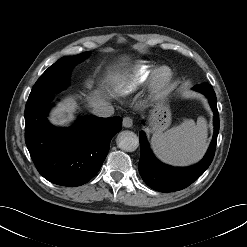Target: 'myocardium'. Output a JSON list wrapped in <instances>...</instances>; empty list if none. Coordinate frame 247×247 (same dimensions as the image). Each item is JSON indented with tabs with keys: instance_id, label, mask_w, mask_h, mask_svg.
<instances>
[{
	"instance_id": "f54148a6",
	"label": "myocardium",
	"mask_w": 247,
	"mask_h": 247,
	"mask_svg": "<svg viewBox=\"0 0 247 247\" xmlns=\"http://www.w3.org/2000/svg\"><path fill=\"white\" fill-rule=\"evenodd\" d=\"M174 79V73L168 66L157 68L149 82V93L151 96L159 95L165 92Z\"/></svg>"
}]
</instances>
